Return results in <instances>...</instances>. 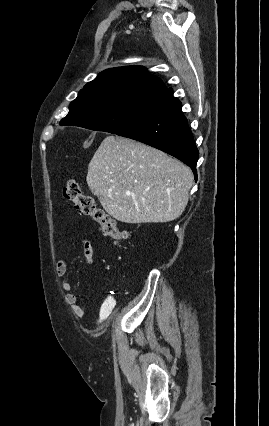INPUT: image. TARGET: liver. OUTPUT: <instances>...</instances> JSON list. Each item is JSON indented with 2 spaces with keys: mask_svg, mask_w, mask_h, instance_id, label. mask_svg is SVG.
Segmentation results:
<instances>
[{
  "mask_svg": "<svg viewBox=\"0 0 269 426\" xmlns=\"http://www.w3.org/2000/svg\"><path fill=\"white\" fill-rule=\"evenodd\" d=\"M86 181L104 210L116 220L165 223L184 211L193 174L158 149L111 135L91 159Z\"/></svg>",
  "mask_w": 269,
  "mask_h": 426,
  "instance_id": "liver-1",
  "label": "liver"
}]
</instances>
